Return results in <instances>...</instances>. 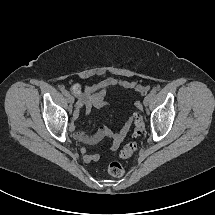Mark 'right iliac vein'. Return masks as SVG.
Wrapping results in <instances>:
<instances>
[{
    "instance_id": "obj_1",
    "label": "right iliac vein",
    "mask_w": 215,
    "mask_h": 215,
    "mask_svg": "<svg viewBox=\"0 0 215 215\" xmlns=\"http://www.w3.org/2000/svg\"><path fill=\"white\" fill-rule=\"evenodd\" d=\"M67 100H68V102H69L70 104H73V103H74V98H73V96H71V95H68V96H67Z\"/></svg>"
}]
</instances>
